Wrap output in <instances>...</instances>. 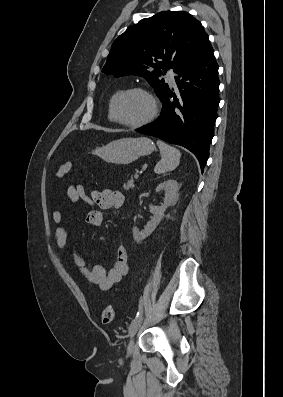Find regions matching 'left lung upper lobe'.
Masks as SVG:
<instances>
[{
	"label": "left lung upper lobe",
	"mask_w": 283,
	"mask_h": 397,
	"mask_svg": "<svg viewBox=\"0 0 283 397\" xmlns=\"http://www.w3.org/2000/svg\"><path fill=\"white\" fill-rule=\"evenodd\" d=\"M210 46L202 24L184 11L160 12L130 26L112 44L102 72L144 77L159 98L169 89L160 80L175 73Z\"/></svg>",
	"instance_id": "5c2ea615"
}]
</instances>
